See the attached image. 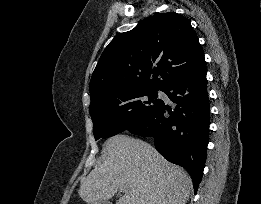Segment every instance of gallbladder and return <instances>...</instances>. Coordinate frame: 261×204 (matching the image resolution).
Wrapping results in <instances>:
<instances>
[{
    "instance_id": "1",
    "label": "gallbladder",
    "mask_w": 261,
    "mask_h": 204,
    "mask_svg": "<svg viewBox=\"0 0 261 204\" xmlns=\"http://www.w3.org/2000/svg\"><path fill=\"white\" fill-rule=\"evenodd\" d=\"M92 204H111L108 200L95 201Z\"/></svg>"
}]
</instances>
